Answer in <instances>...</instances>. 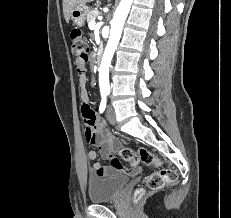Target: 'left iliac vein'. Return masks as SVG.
Segmentation results:
<instances>
[{
  "instance_id": "1",
  "label": "left iliac vein",
  "mask_w": 231,
  "mask_h": 218,
  "mask_svg": "<svg viewBox=\"0 0 231 218\" xmlns=\"http://www.w3.org/2000/svg\"><path fill=\"white\" fill-rule=\"evenodd\" d=\"M107 119L108 121L112 124V125H115L116 124V115H115V111H114V108L109 105L107 107Z\"/></svg>"
}]
</instances>
